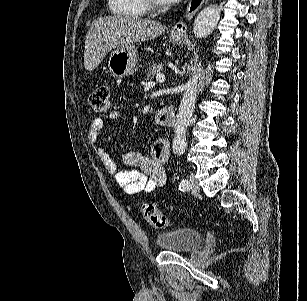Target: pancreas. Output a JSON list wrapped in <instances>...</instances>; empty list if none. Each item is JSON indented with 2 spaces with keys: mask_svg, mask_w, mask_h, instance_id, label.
I'll list each match as a JSON object with an SVG mask.
<instances>
[{
  "mask_svg": "<svg viewBox=\"0 0 307 301\" xmlns=\"http://www.w3.org/2000/svg\"><path fill=\"white\" fill-rule=\"evenodd\" d=\"M163 66L164 64H158V62H150L149 66L145 68L146 80H153L154 74H160Z\"/></svg>",
  "mask_w": 307,
  "mask_h": 301,
  "instance_id": "cf45deb5",
  "label": "pancreas"
}]
</instances>
